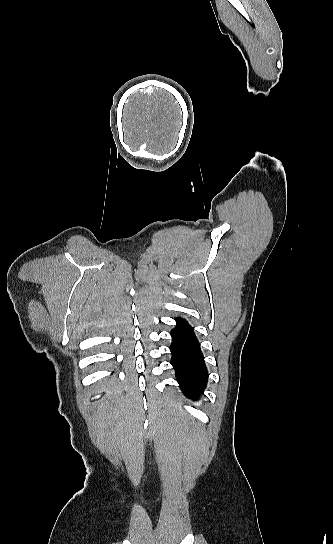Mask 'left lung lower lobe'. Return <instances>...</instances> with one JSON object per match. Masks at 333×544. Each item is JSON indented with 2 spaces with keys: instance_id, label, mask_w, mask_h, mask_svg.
<instances>
[{
  "instance_id": "left-lung-lower-lobe-1",
  "label": "left lung lower lobe",
  "mask_w": 333,
  "mask_h": 544,
  "mask_svg": "<svg viewBox=\"0 0 333 544\" xmlns=\"http://www.w3.org/2000/svg\"><path fill=\"white\" fill-rule=\"evenodd\" d=\"M175 320L177 326L170 333L173 339L170 346L171 364L183 393L196 400L206 387L207 368L193 328L185 319Z\"/></svg>"
}]
</instances>
